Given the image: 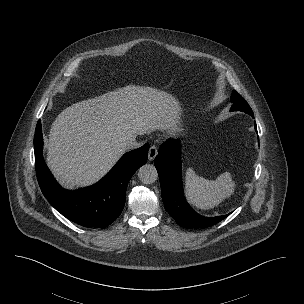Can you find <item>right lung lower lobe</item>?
I'll return each mask as SVG.
<instances>
[{
	"label": "right lung lower lobe",
	"mask_w": 304,
	"mask_h": 304,
	"mask_svg": "<svg viewBox=\"0 0 304 304\" xmlns=\"http://www.w3.org/2000/svg\"><path fill=\"white\" fill-rule=\"evenodd\" d=\"M43 137L39 120L34 136L36 174L49 203L69 220L84 226L104 228L122 212L129 180L147 161L149 144L127 152L98 183L68 191L59 186L42 154Z\"/></svg>",
	"instance_id": "obj_1"
}]
</instances>
